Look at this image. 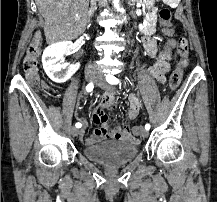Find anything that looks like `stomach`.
Masks as SVG:
<instances>
[{"instance_id":"0dacf381","label":"stomach","mask_w":217,"mask_h":202,"mask_svg":"<svg viewBox=\"0 0 217 202\" xmlns=\"http://www.w3.org/2000/svg\"><path fill=\"white\" fill-rule=\"evenodd\" d=\"M154 2H155V0H146V4H147L148 8H152Z\"/></svg>"}]
</instances>
